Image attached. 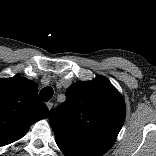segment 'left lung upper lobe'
<instances>
[{"label": "left lung upper lobe", "instance_id": "5c2ea615", "mask_svg": "<svg viewBox=\"0 0 156 156\" xmlns=\"http://www.w3.org/2000/svg\"><path fill=\"white\" fill-rule=\"evenodd\" d=\"M125 103L102 76L72 84L66 100L49 114L56 142L86 156H101L114 143L125 119Z\"/></svg>", "mask_w": 156, "mask_h": 156}]
</instances>
